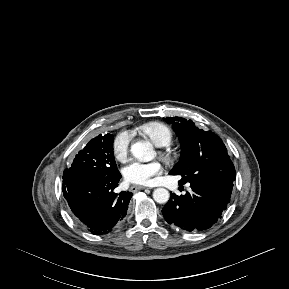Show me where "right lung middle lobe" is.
<instances>
[{
  "mask_svg": "<svg viewBox=\"0 0 289 289\" xmlns=\"http://www.w3.org/2000/svg\"><path fill=\"white\" fill-rule=\"evenodd\" d=\"M113 138L110 134H100L91 139L76 155L71 168L64 172L73 171L88 177H103L115 172Z\"/></svg>",
  "mask_w": 289,
  "mask_h": 289,
  "instance_id": "1",
  "label": "right lung middle lobe"
}]
</instances>
